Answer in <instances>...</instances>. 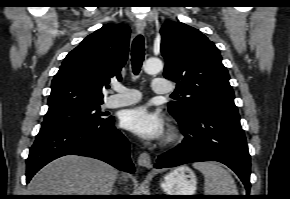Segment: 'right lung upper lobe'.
I'll list each match as a JSON object with an SVG mask.
<instances>
[{
  "mask_svg": "<svg viewBox=\"0 0 290 199\" xmlns=\"http://www.w3.org/2000/svg\"><path fill=\"white\" fill-rule=\"evenodd\" d=\"M130 29L106 24L87 36L65 57L54 76L47 114L103 103V89L128 57Z\"/></svg>",
  "mask_w": 290,
  "mask_h": 199,
  "instance_id": "right-lung-upper-lobe-1",
  "label": "right lung upper lobe"
}]
</instances>
